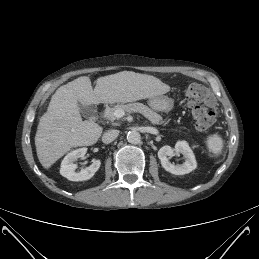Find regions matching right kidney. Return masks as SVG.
<instances>
[{
  "label": "right kidney",
  "instance_id": "right-kidney-1",
  "mask_svg": "<svg viewBox=\"0 0 259 259\" xmlns=\"http://www.w3.org/2000/svg\"><path fill=\"white\" fill-rule=\"evenodd\" d=\"M86 152L87 148H79L68 153L62 160L60 174L70 181L91 179L100 168V160H94L89 167L82 169L80 172H75L77 165L74 162L79 158H83Z\"/></svg>",
  "mask_w": 259,
  "mask_h": 259
}]
</instances>
